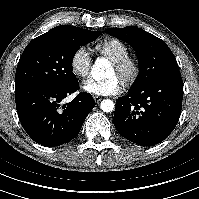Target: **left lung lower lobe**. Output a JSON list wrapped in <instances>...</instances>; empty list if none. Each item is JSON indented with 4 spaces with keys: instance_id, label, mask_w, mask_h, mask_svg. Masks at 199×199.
Here are the masks:
<instances>
[{
    "instance_id": "0a47b994",
    "label": "left lung lower lobe",
    "mask_w": 199,
    "mask_h": 199,
    "mask_svg": "<svg viewBox=\"0 0 199 199\" xmlns=\"http://www.w3.org/2000/svg\"><path fill=\"white\" fill-rule=\"evenodd\" d=\"M183 99L180 72L157 78L141 89H130L116 100L117 131L141 146H153L170 135L178 123Z\"/></svg>"
}]
</instances>
